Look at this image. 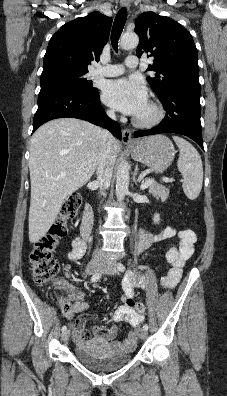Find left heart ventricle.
<instances>
[{
  "label": "left heart ventricle",
  "instance_id": "1",
  "mask_svg": "<svg viewBox=\"0 0 227 396\" xmlns=\"http://www.w3.org/2000/svg\"><path fill=\"white\" fill-rule=\"evenodd\" d=\"M152 115V109L150 108L149 104L142 110V112L137 116L139 118H149Z\"/></svg>",
  "mask_w": 227,
  "mask_h": 396
}]
</instances>
